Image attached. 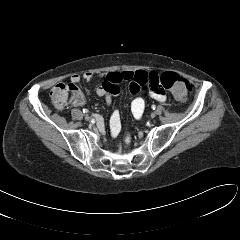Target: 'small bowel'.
<instances>
[{"instance_id":"1","label":"small bowel","mask_w":240,"mask_h":240,"mask_svg":"<svg viewBox=\"0 0 240 240\" xmlns=\"http://www.w3.org/2000/svg\"><path fill=\"white\" fill-rule=\"evenodd\" d=\"M93 74L86 72L83 75L72 74L70 81L77 83L81 79L91 81ZM126 84L131 95L135 96L131 103V111L135 119L142 118L145 110V101L142 97L138 96L141 91L147 92L153 99L159 102L166 101V92L160 83V75L155 71H124V72H111L104 76L103 84L96 88V94L103 97L107 104H111L115 95L120 92V86ZM85 102L82 93L75 98L72 103L74 106H82ZM96 122L100 129H103L104 123L101 116H95ZM110 126L113 134H117L120 130V114L115 110L111 116Z\"/></svg>"}]
</instances>
